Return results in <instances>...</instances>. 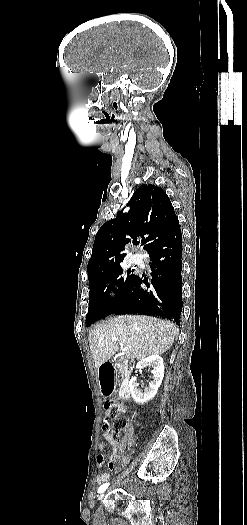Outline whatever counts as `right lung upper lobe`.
Wrapping results in <instances>:
<instances>
[{"mask_svg":"<svg viewBox=\"0 0 247 525\" xmlns=\"http://www.w3.org/2000/svg\"><path fill=\"white\" fill-rule=\"evenodd\" d=\"M128 206L131 210L127 214L120 211L97 232L88 262V275L120 268L126 255L125 245L130 239L142 236L143 248L146 249L153 241L179 226L171 201L161 187L151 184L140 186Z\"/></svg>","mask_w":247,"mask_h":525,"instance_id":"cb5924a9","label":"right lung upper lobe"}]
</instances>
